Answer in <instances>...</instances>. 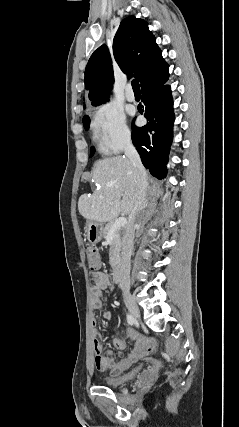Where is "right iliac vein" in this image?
Here are the masks:
<instances>
[{
    "label": "right iliac vein",
    "instance_id": "right-iliac-vein-1",
    "mask_svg": "<svg viewBox=\"0 0 239 427\" xmlns=\"http://www.w3.org/2000/svg\"><path fill=\"white\" fill-rule=\"evenodd\" d=\"M124 301L131 315L135 319H140V309L133 296L128 292L124 293Z\"/></svg>",
    "mask_w": 239,
    "mask_h": 427
}]
</instances>
